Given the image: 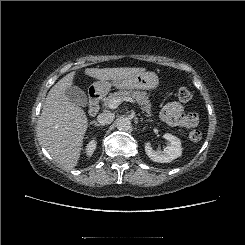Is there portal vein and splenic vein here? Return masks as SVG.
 <instances>
[{
	"label": "portal vein and splenic vein",
	"mask_w": 245,
	"mask_h": 245,
	"mask_svg": "<svg viewBox=\"0 0 245 245\" xmlns=\"http://www.w3.org/2000/svg\"><path fill=\"white\" fill-rule=\"evenodd\" d=\"M123 101L135 103V101L131 97L114 98V99L110 100V102L108 103V108L116 109L121 104V102H123Z\"/></svg>",
	"instance_id": "portal-vein-and-splenic-vein-1"
}]
</instances>
